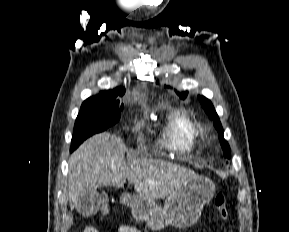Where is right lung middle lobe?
Here are the masks:
<instances>
[{
  "label": "right lung middle lobe",
  "instance_id": "dd1d6c3e",
  "mask_svg": "<svg viewBox=\"0 0 289 232\" xmlns=\"http://www.w3.org/2000/svg\"><path fill=\"white\" fill-rule=\"evenodd\" d=\"M123 105L113 99H87L77 116L71 151L75 150L85 139L102 132L117 123Z\"/></svg>",
  "mask_w": 289,
  "mask_h": 232
}]
</instances>
